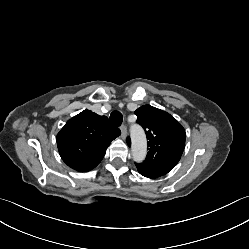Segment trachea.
<instances>
[{
	"instance_id": "3493384b",
	"label": "trachea",
	"mask_w": 249,
	"mask_h": 249,
	"mask_svg": "<svg viewBox=\"0 0 249 249\" xmlns=\"http://www.w3.org/2000/svg\"><path fill=\"white\" fill-rule=\"evenodd\" d=\"M110 121L115 126H120L122 124V121H123V116L119 111H113L110 114Z\"/></svg>"
}]
</instances>
